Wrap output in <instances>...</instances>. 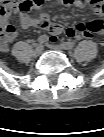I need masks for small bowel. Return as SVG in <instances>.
Here are the masks:
<instances>
[{"label": "small bowel", "mask_w": 104, "mask_h": 137, "mask_svg": "<svg viewBox=\"0 0 104 137\" xmlns=\"http://www.w3.org/2000/svg\"><path fill=\"white\" fill-rule=\"evenodd\" d=\"M46 0H15L13 2H9L6 0L5 4L0 10V24L2 27H6L9 24V13L12 10H20L19 6L22 3H25L29 6V9L27 11L20 10V24L21 27L24 29H27L32 26H39L41 28H47L50 26V22L46 20L45 18H34L29 12L33 8H38L44 4ZM56 2L60 5H74L78 8H90L93 10V12L96 14L97 18L100 19L103 15V4L102 0H56ZM95 20V19H94ZM101 20V19H100ZM92 21V20H91ZM89 21V22H91ZM88 23V22H87ZM74 31L77 37H87V38H93L95 35H98L101 33V31H91L87 29L86 23H79L74 27H71ZM53 30L55 33L60 34L65 29H63L61 26H53ZM74 34V35H75ZM73 35V36H74ZM17 32L14 31L6 36L1 42L0 47L1 50L7 51L9 48V44L16 38Z\"/></svg>", "instance_id": "small-bowel-1"}]
</instances>
